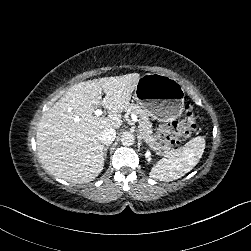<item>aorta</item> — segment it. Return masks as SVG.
<instances>
[{
	"mask_svg": "<svg viewBox=\"0 0 251 251\" xmlns=\"http://www.w3.org/2000/svg\"><path fill=\"white\" fill-rule=\"evenodd\" d=\"M135 141V137L132 133L130 132H124L121 135V142L124 146H130L133 145Z\"/></svg>",
	"mask_w": 251,
	"mask_h": 251,
	"instance_id": "aorta-1",
	"label": "aorta"
}]
</instances>
